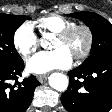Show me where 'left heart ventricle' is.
Here are the masks:
<instances>
[{
	"label": "left heart ventricle",
	"mask_w": 112,
	"mask_h": 112,
	"mask_svg": "<svg viewBox=\"0 0 112 112\" xmlns=\"http://www.w3.org/2000/svg\"><path fill=\"white\" fill-rule=\"evenodd\" d=\"M85 44H86V36L84 32L78 31L67 40H61L56 37L52 43V48L53 49L63 48L72 57H74L84 49Z\"/></svg>",
	"instance_id": "left-heart-ventricle-1"
}]
</instances>
